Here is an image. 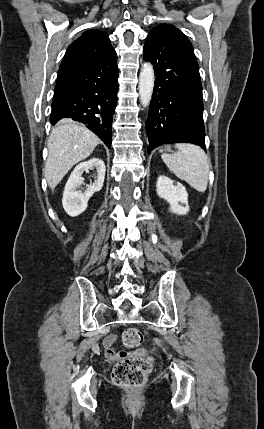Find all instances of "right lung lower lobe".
I'll use <instances>...</instances> for the list:
<instances>
[{"mask_svg": "<svg viewBox=\"0 0 264 429\" xmlns=\"http://www.w3.org/2000/svg\"><path fill=\"white\" fill-rule=\"evenodd\" d=\"M116 61V52L112 50L98 61L58 79L51 124L63 118L86 124L110 148L118 92Z\"/></svg>", "mask_w": 264, "mask_h": 429, "instance_id": "right-lung-lower-lobe-1", "label": "right lung lower lobe"}]
</instances>
